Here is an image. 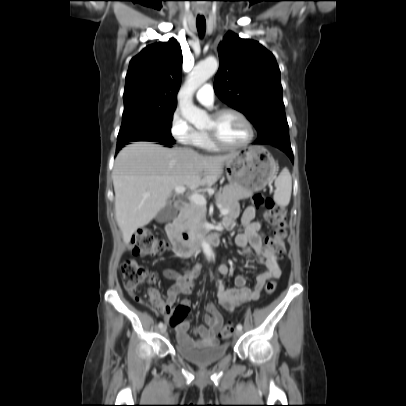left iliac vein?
Instances as JSON below:
<instances>
[{
  "label": "left iliac vein",
  "mask_w": 406,
  "mask_h": 406,
  "mask_svg": "<svg viewBox=\"0 0 406 406\" xmlns=\"http://www.w3.org/2000/svg\"><path fill=\"white\" fill-rule=\"evenodd\" d=\"M235 334H236V336H240V335L242 334V330H238V329H237V330L235 331Z\"/></svg>",
  "instance_id": "left-iliac-vein-1"
}]
</instances>
